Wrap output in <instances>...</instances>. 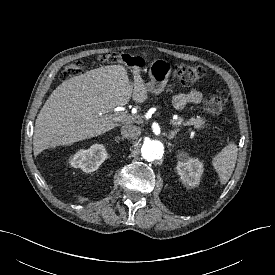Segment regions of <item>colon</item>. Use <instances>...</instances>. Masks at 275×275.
Listing matches in <instances>:
<instances>
[{
    "label": "colon",
    "mask_w": 275,
    "mask_h": 275,
    "mask_svg": "<svg viewBox=\"0 0 275 275\" xmlns=\"http://www.w3.org/2000/svg\"><path fill=\"white\" fill-rule=\"evenodd\" d=\"M101 62L106 63H123L128 66L133 65L137 59L129 54L119 52H109L100 57ZM80 62H72L63 71L62 77L68 78L75 76L81 71ZM174 75L182 84H191L199 80L204 75V69L198 65L180 64L174 68ZM205 110L215 116H219L223 112L222 99L214 94L208 95L204 100Z\"/></svg>",
    "instance_id": "obj_1"
}]
</instances>
